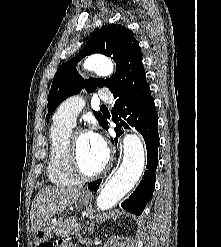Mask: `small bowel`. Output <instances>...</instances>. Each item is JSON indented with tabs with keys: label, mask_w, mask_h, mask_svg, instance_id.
<instances>
[{
	"label": "small bowel",
	"mask_w": 221,
	"mask_h": 247,
	"mask_svg": "<svg viewBox=\"0 0 221 247\" xmlns=\"http://www.w3.org/2000/svg\"><path fill=\"white\" fill-rule=\"evenodd\" d=\"M56 247H70V245L67 243H59L56 245Z\"/></svg>",
	"instance_id": "1"
}]
</instances>
